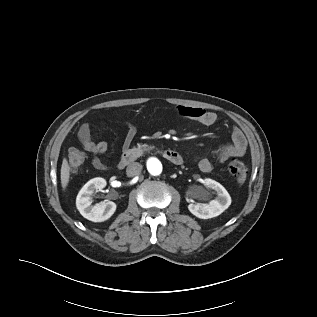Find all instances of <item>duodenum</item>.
Wrapping results in <instances>:
<instances>
[{"label": "duodenum", "mask_w": 317, "mask_h": 317, "mask_svg": "<svg viewBox=\"0 0 317 317\" xmlns=\"http://www.w3.org/2000/svg\"><path fill=\"white\" fill-rule=\"evenodd\" d=\"M163 157L168 160L169 162L175 164V165H180L183 162L182 156L174 150H165L161 152ZM142 155V150L140 149H128L126 150L119 163H118V168L123 169L126 167L128 164L135 162L136 160L139 159V157Z\"/></svg>", "instance_id": "obj_1"}]
</instances>
